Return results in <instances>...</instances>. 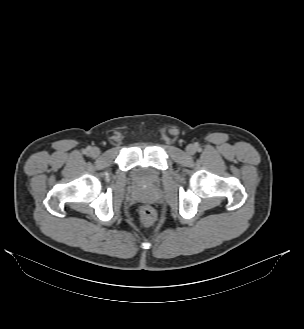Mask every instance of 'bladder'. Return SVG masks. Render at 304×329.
I'll return each instance as SVG.
<instances>
[{
    "label": "bladder",
    "instance_id": "obj_1",
    "mask_svg": "<svg viewBox=\"0 0 304 329\" xmlns=\"http://www.w3.org/2000/svg\"><path fill=\"white\" fill-rule=\"evenodd\" d=\"M134 179L138 183L154 184L158 181V173L147 167H139L134 172Z\"/></svg>",
    "mask_w": 304,
    "mask_h": 329
}]
</instances>
